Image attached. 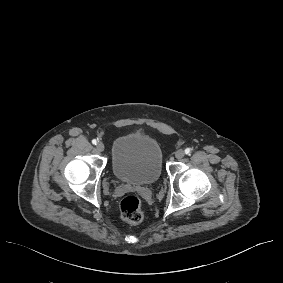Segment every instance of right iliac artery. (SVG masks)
<instances>
[{"instance_id":"right-iliac-artery-1","label":"right iliac artery","mask_w":283,"mask_h":283,"mask_svg":"<svg viewBox=\"0 0 283 283\" xmlns=\"http://www.w3.org/2000/svg\"><path fill=\"white\" fill-rule=\"evenodd\" d=\"M92 143H93L94 145H96V144H97L96 139H93V140H92Z\"/></svg>"}]
</instances>
